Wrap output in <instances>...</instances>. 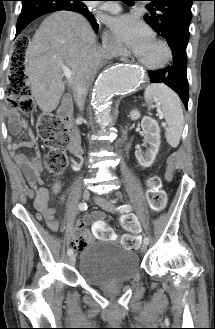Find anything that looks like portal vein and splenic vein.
I'll return each instance as SVG.
<instances>
[{
    "mask_svg": "<svg viewBox=\"0 0 215 329\" xmlns=\"http://www.w3.org/2000/svg\"><path fill=\"white\" fill-rule=\"evenodd\" d=\"M62 70H63V75H64L68 80H70V79H71V75H72L71 70H70L69 68L65 67V66H63V69H62ZM159 118L162 119V118H163V115L160 114V115H159Z\"/></svg>",
    "mask_w": 215,
    "mask_h": 329,
    "instance_id": "18ae733b",
    "label": "portal vein and splenic vein"
}]
</instances>
